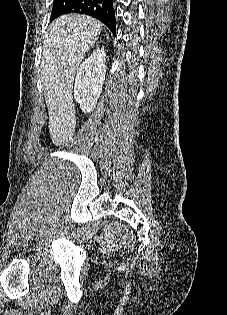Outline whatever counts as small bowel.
I'll return each instance as SVG.
<instances>
[{"label": "small bowel", "mask_w": 227, "mask_h": 315, "mask_svg": "<svg viewBox=\"0 0 227 315\" xmlns=\"http://www.w3.org/2000/svg\"><path fill=\"white\" fill-rule=\"evenodd\" d=\"M118 225L117 224H112L108 227L106 230V236L103 241V244L107 247H113L118 243V239L116 237V234L118 232Z\"/></svg>", "instance_id": "c3829d8e"}]
</instances>
